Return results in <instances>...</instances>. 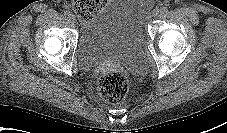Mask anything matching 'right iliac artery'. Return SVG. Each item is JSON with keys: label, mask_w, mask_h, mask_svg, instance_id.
Listing matches in <instances>:
<instances>
[{"label": "right iliac artery", "mask_w": 227, "mask_h": 133, "mask_svg": "<svg viewBox=\"0 0 227 133\" xmlns=\"http://www.w3.org/2000/svg\"><path fill=\"white\" fill-rule=\"evenodd\" d=\"M64 15L69 17L71 15V12L69 10L64 11Z\"/></svg>", "instance_id": "right-iliac-artery-1"}]
</instances>
